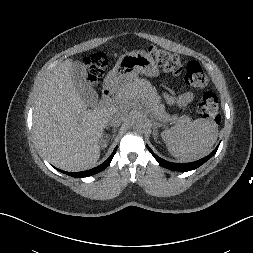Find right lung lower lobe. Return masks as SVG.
<instances>
[{
  "instance_id": "right-lung-lower-lobe-1",
  "label": "right lung lower lobe",
  "mask_w": 253,
  "mask_h": 253,
  "mask_svg": "<svg viewBox=\"0 0 253 253\" xmlns=\"http://www.w3.org/2000/svg\"><path fill=\"white\" fill-rule=\"evenodd\" d=\"M116 150H117V148H115V150L113 151L111 156L104 163H102L101 165H99L98 167H95L93 169H90L87 171H82V172H65L62 170H59V171H61L62 173H65L67 175H70L72 177H75V178H82V177H88V176L94 175V174L104 170L110 164Z\"/></svg>"
}]
</instances>
